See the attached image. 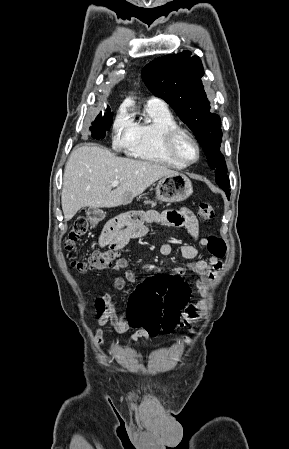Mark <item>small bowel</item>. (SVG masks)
Here are the masks:
<instances>
[{"label": "small bowel", "instance_id": "obj_1", "mask_svg": "<svg viewBox=\"0 0 289 449\" xmlns=\"http://www.w3.org/2000/svg\"><path fill=\"white\" fill-rule=\"evenodd\" d=\"M163 224L167 226L184 227L195 239L196 245L184 244L181 247V254L186 259H193L198 255L199 248H207V238L200 237L199 220L195 214L186 208L178 210H167L164 212L156 211H140L133 213L128 217H121L110 221L104 228L100 238L99 245L102 247L120 251L131 239L141 238L151 235L148 225ZM159 252L164 255H170L172 246L168 243L162 244L159 247ZM129 262L126 258L120 257L116 260L113 270H125L123 277H115L113 279L114 289L121 291L125 288L128 282L135 281V274L128 269ZM222 267L221 258L210 255L209 260H197L188 263L186 267L178 266L172 269L171 275L182 278L186 271L189 270L198 276L195 281V286L199 291H204L206 285L215 277ZM145 271H151L153 266L147 264L143 267ZM102 309L99 314L98 324L104 326L111 324L118 333L127 332L131 325L126 321L121 312L115 307L114 301L109 294H104L102 297ZM206 308L204 300L197 304L188 306L183 311L182 322L180 326L191 324L200 321L203 318V312ZM151 336L144 329H137L130 338L131 343H135L138 339L143 338L147 341ZM96 341L102 345V331L96 332Z\"/></svg>", "mask_w": 289, "mask_h": 449}]
</instances>
